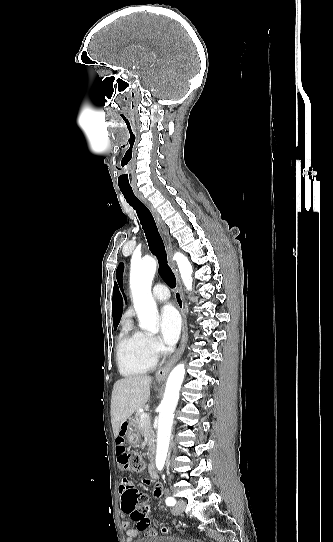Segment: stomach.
Instances as JSON below:
<instances>
[{"label":"stomach","mask_w":333,"mask_h":542,"mask_svg":"<svg viewBox=\"0 0 333 542\" xmlns=\"http://www.w3.org/2000/svg\"><path fill=\"white\" fill-rule=\"evenodd\" d=\"M126 428V440L128 444H131V446H137L140 440V434L135 422H133V420H128Z\"/></svg>","instance_id":"0dacf381"}]
</instances>
